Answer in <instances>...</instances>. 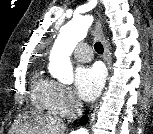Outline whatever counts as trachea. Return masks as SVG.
Here are the masks:
<instances>
[{"mask_svg":"<svg viewBox=\"0 0 153 134\" xmlns=\"http://www.w3.org/2000/svg\"><path fill=\"white\" fill-rule=\"evenodd\" d=\"M94 49L98 54H102L104 52L103 45L100 42L95 43Z\"/></svg>","mask_w":153,"mask_h":134,"instance_id":"3493384b","label":"trachea"}]
</instances>
